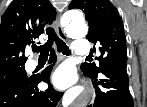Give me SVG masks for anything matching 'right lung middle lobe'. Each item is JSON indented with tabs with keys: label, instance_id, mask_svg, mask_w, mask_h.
I'll return each mask as SVG.
<instances>
[{
	"label": "right lung middle lobe",
	"instance_id": "right-lung-middle-lobe-1",
	"mask_svg": "<svg viewBox=\"0 0 147 107\" xmlns=\"http://www.w3.org/2000/svg\"><path fill=\"white\" fill-rule=\"evenodd\" d=\"M27 79L24 65L0 69V89Z\"/></svg>",
	"mask_w": 147,
	"mask_h": 107
}]
</instances>
